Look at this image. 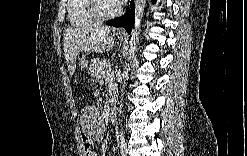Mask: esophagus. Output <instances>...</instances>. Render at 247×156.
Returning <instances> with one entry per match:
<instances>
[{
    "mask_svg": "<svg viewBox=\"0 0 247 156\" xmlns=\"http://www.w3.org/2000/svg\"><path fill=\"white\" fill-rule=\"evenodd\" d=\"M118 32H119V33H124L125 30H124V28H120V29L118 30Z\"/></svg>",
    "mask_w": 247,
    "mask_h": 156,
    "instance_id": "obj_1",
    "label": "esophagus"
}]
</instances>
